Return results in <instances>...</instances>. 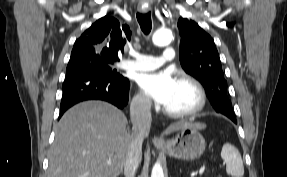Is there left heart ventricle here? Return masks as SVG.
I'll return each instance as SVG.
<instances>
[{
    "instance_id": "b2bd125f",
    "label": "left heart ventricle",
    "mask_w": 287,
    "mask_h": 177,
    "mask_svg": "<svg viewBox=\"0 0 287 177\" xmlns=\"http://www.w3.org/2000/svg\"><path fill=\"white\" fill-rule=\"evenodd\" d=\"M197 103L196 93L188 84L177 81L164 108L170 111H185L192 109Z\"/></svg>"
}]
</instances>
